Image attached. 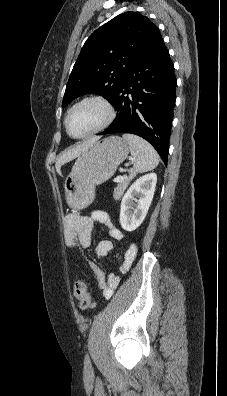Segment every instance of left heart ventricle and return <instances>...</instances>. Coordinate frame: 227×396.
<instances>
[{"instance_id":"b2bd125f","label":"left heart ventricle","mask_w":227,"mask_h":396,"mask_svg":"<svg viewBox=\"0 0 227 396\" xmlns=\"http://www.w3.org/2000/svg\"><path fill=\"white\" fill-rule=\"evenodd\" d=\"M104 108L95 102L76 108L70 115L68 126L74 136H81L97 127L105 118Z\"/></svg>"}]
</instances>
